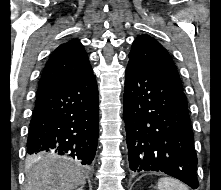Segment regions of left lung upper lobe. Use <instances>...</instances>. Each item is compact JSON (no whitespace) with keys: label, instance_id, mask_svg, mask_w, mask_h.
<instances>
[{"label":"left lung upper lobe","instance_id":"obj_1","mask_svg":"<svg viewBox=\"0 0 221 190\" xmlns=\"http://www.w3.org/2000/svg\"><path fill=\"white\" fill-rule=\"evenodd\" d=\"M129 59L157 71L183 89L178 71L169 53L149 35L143 34L137 37L132 44Z\"/></svg>","mask_w":221,"mask_h":190}]
</instances>
